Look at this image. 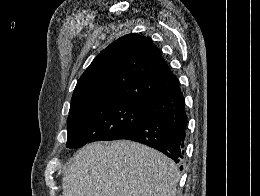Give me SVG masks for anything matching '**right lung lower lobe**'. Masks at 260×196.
<instances>
[{
    "label": "right lung lower lobe",
    "instance_id": "obj_1",
    "mask_svg": "<svg viewBox=\"0 0 260 196\" xmlns=\"http://www.w3.org/2000/svg\"><path fill=\"white\" fill-rule=\"evenodd\" d=\"M140 108L150 117L115 140L143 143L164 153L175 163H182L188 121L179 82L141 102Z\"/></svg>",
    "mask_w": 260,
    "mask_h": 196
}]
</instances>
